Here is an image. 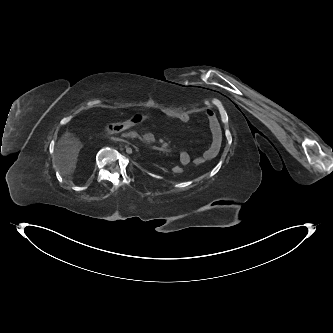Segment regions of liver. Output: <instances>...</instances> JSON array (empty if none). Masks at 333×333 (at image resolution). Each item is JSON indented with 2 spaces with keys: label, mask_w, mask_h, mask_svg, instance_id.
Masks as SVG:
<instances>
[{
  "label": "liver",
  "mask_w": 333,
  "mask_h": 333,
  "mask_svg": "<svg viewBox=\"0 0 333 333\" xmlns=\"http://www.w3.org/2000/svg\"><path fill=\"white\" fill-rule=\"evenodd\" d=\"M82 147L81 141L68 131L59 139L54 161L63 176L72 178Z\"/></svg>",
  "instance_id": "liver-1"
}]
</instances>
